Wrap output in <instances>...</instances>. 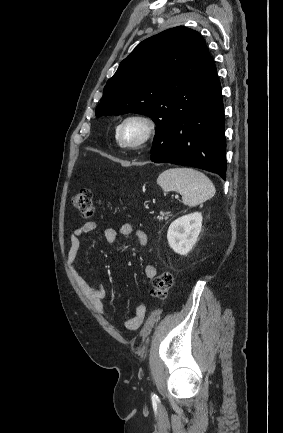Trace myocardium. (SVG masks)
<instances>
[{
  "mask_svg": "<svg viewBox=\"0 0 283 433\" xmlns=\"http://www.w3.org/2000/svg\"><path fill=\"white\" fill-rule=\"evenodd\" d=\"M131 121H139L144 124L145 132L143 136L134 141H123L121 138V132L125 124ZM158 133V123L157 121L149 114L146 113H131L126 115L121 121L118 123L115 130V139L118 145L125 149H140L148 144H150Z\"/></svg>",
  "mask_w": 283,
  "mask_h": 433,
  "instance_id": "1",
  "label": "myocardium"
}]
</instances>
